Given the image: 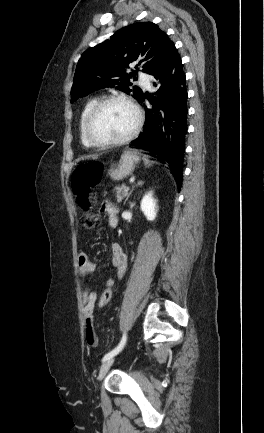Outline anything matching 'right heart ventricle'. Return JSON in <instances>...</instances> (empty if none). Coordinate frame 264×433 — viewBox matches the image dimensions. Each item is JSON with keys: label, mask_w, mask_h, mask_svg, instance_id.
I'll list each match as a JSON object with an SVG mask.
<instances>
[{"label": "right heart ventricle", "mask_w": 264, "mask_h": 433, "mask_svg": "<svg viewBox=\"0 0 264 433\" xmlns=\"http://www.w3.org/2000/svg\"><path fill=\"white\" fill-rule=\"evenodd\" d=\"M97 102L96 98H90L86 101V103L84 104L80 117H79V134H80V139L83 145L89 146L90 144L88 143L87 139L85 138V135L83 133V124H84V120L85 117L88 113V111L91 109V107Z\"/></svg>", "instance_id": "e07e8e85"}]
</instances>
